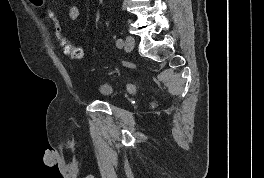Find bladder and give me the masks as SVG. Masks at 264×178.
Listing matches in <instances>:
<instances>
[{"label":"bladder","instance_id":"31cf9c89","mask_svg":"<svg viewBox=\"0 0 264 178\" xmlns=\"http://www.w3.org/2000/svg\"><path fill=\"white\" fill-rule=\"evenodd\" d=\"M97 92L105 99H111L114 94L113 87L108 83L100 84L97 88Z\"/></svg>","mask_w":264,"mask_h":178}]
</instances>
